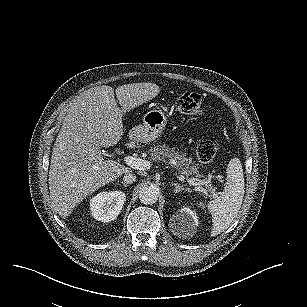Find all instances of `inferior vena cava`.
Listing matches in <instances>:
<instances>
[{"label":"inferior vena cava","mask_w":307,"mask_h":307,"mask_svg":"<svg viewBox=\"0 0 307 307\" xmlns=\"http://www.w3.org/2000/svg\"><path fill=\"white\" fill-rule=\"evenodd\" d=\"M123 180H124V183L126 184H132L136 181V175L128 172L124 174Z\"/></svg>","instance_id":"obj_1"}]
</instances>
